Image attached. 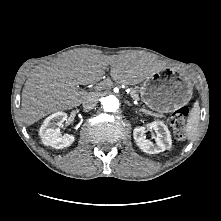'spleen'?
<instances>
[{
	"label": "spleen",
	"instance_id": "3e777b00",
	"mask_svg": "<svg viewBox=\"0 0 221 221\" xmlns=\"http://www.w3.org/2000/svg\"><path fill=\"white\" fill-rule=\"evenodd\" d=\"M199 117H200V108L196 104L191 110V113L189 115V118L186 124L185 131H186V137L188 140H192L198 132Z\"/></svg>",
	"mask_w": 221,
	"mask_h": 221
}]
</instances>
